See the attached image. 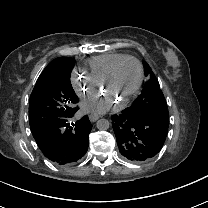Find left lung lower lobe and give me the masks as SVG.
Masks as SVG:
<instances>
[{"instance_id":"0a47b994","label":"left lung lower lobe","mask_w":208,"mask_h":208,"mask_svg":"<svg viewBox=\"0 0 208 208\" xmlns=\"http://www.w3.org/2000/svg\"><path fill=\"white\" fill-rule=\"evenodd\" d=\"M111 119L119 151L128 161H147L163 147L169 123L126 110Z\"/></svg>"}]
</instances>
